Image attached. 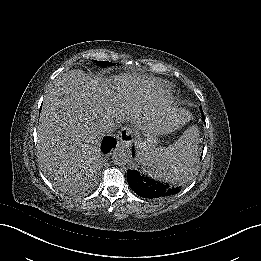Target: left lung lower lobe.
Listing matches in <instances>:
<instances>
[{
    "mask_svg": "<svg viewBox=\"0 0 261 261\" xmlns=\"http://www.w3.org/2000/svg\"><path fill=\"white\" fill-rule=\"evenodd\" d=\"M189 172L190 171H186L185 175L187 176ZM127 181L137 195L146 199H163L177 194L180 191V188L175 185L171 186L167 183L156 181L140 174V172L136 170L129 169L127 171Z\"/></svg>",
    "mask_w": 261,
    "mask_h": 261,
    "instance_id": "1",
    "label": "left lung lower lobe"
}]
</instances>
